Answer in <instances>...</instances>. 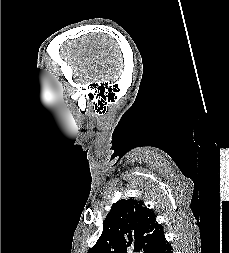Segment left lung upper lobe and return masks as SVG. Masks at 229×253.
Returning a JSON list of instances; mask_svg holds the SVG:
<instances>
[{
	"mask_svg": "<svg viewBox=\"0 0 229 253\" xmlns=\"http://www.w3.org/2000/svg\"><path fill=\"white\" fill-rule=\"evenodd\" d=\"M154 212L142 201L122 199L113 204L103 223V232L88 253H153L164 238Z\"/></svg>",
	"mask_w": 229,
	"mask_h": 253,
	"instance_id": "left-lung-upper-lobe-1",
	"label": "left lung upper lobe"
}]
</instances>
